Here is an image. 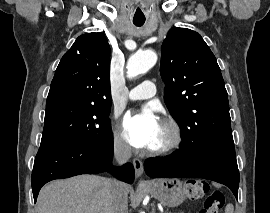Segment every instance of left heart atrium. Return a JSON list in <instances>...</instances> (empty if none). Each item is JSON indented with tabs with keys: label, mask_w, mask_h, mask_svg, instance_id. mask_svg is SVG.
Returning a JSON list of instances; mask_svg holds the SVG:
<instances>
[{
	"label": "left heart atrium",
	"mask_w": 270,
	"mask_h": 213,
	"mask_svg": "<svg viewBox=\"0 0 270 213\" xmlns=\"http://www.w3.org/2000/svg\"><path fill=\"white\" fill-rule=\"evenodd\" d=\"M160 121L150 107L142 112L128 114L123 120V137L126 142L137 149H148L152 145Z\"/></svg>",
	"instance_id": "left-heart-atrium-1"
}]
</instances>
